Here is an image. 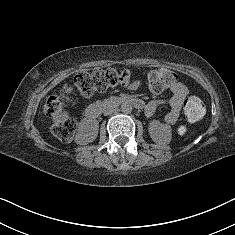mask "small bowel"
I'll return each mask as SVG.
<instances>
[{
	"label": "small bowel",
	"instance_id": "c3829d8e",
	"mask_svg": "<svg viewBox=\"0 0 235 235\" xmlns=\"http://www.w3.org/2000/svg\"><path fill=\"white\" fill-rule=\"evenodd\" d=\"M170 90L172 95L167 100H153L147 104L143 103L146 116H152L159 107L167 105L169 107V111L165 115L164 121L168 124H174L177 121L181 106L184 100L187 98L189 91L187 87L181 82H175L170 87Z\"/></svg>",
	"mask_w": 235,
	"mask_h": 235
}]
</instances>
